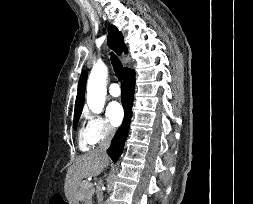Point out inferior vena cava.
Here are the masks:
<instances>
[{"mask_svg": "<svg viewBox=\"0 0 253 204\" xmlns=\"http://www.w3.org/2000/svg\"><path fill=\"white\" fill-rule=\"evenodd\" d=\"M113 135H114L113 129L108 128L106 130L104 139H102V141L99 144V151L102 154H106V150L110 146V142H111V139H112ZM102 201H103V195H102V193H100L98 195V204H102Z\"/></svg>", "mask_w": 253, "mask_h": 204, "instance_id": "602c4592", "label": "inferior vena cava"}]
</instances>
